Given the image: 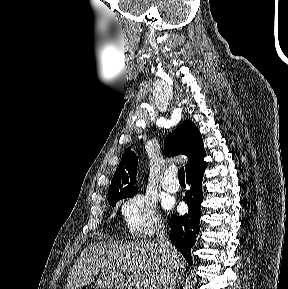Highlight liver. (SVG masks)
Masks as SVG:
<instances>
[{"instance_id": "liver-1", "label": "liver", "mask_w": 288, "mask_h": 289, "mask_svg": "<svg viewBox=\"0 0 288 289\" xmlns=\"http://www.w3.org/2000/svg\"><path fill=\"white\" fill-rule=\"evenodd\" d=\"M174 248V247H173ZM175 260L181 264V254L174 248ZM163 260L155 242H97L88 246L70 269L65 289H78L92 282L93 275L107 276L96 285L127 289H162ZM128 272L127 280L122 276ZM110 274V275H109Z\"/></svg>"}]
</instances>
